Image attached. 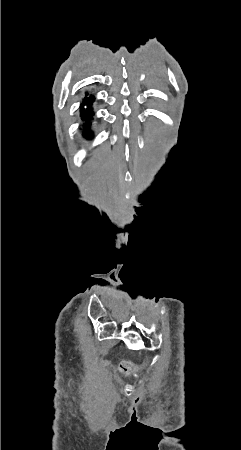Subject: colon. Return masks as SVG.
<instances>
[{
    "instance_id": "1",
    "label": "colon",
    "mask_w": 241,
    "mask_h": 450,
    "mask_svg": "<svg viewBox=\"0 0 241 450\" xmlns=\"http://www.w3.org/2000/svg\"><path fill=\"white\" fill-rule=\"evenodd\" d=\"M143 355L145 356V357H148L149 355H150V352L148 351V350H145L144 352H143ZM143 363L145 364V365H148L149 363H150V360L148 359V358H145L144 360H143ZM123 370H130L132 367L130 366V365H123L122 367H121Z\"/></svg>"
}]
</instances>
